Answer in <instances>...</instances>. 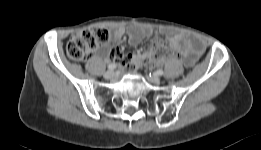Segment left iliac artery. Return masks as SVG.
Listing matches in <instances>:
<instances>
[{
    "label": "left iliac artery",
    "mask_w": 261,
    "mask_h": 150,
    "mask_svg": "<svg viewBox=\"0 0 261 150\" xmlns=\"http://www.w3.org/2000/svg\"><path fill=\"white\" fill-rule=\"evenodd\" d=\"M163 73H164V72H163L162 69H159V70L156 71V74L159 75V76L163 75Z\"/></svg>",
    "instance_id": "1"
}]
</instances>
